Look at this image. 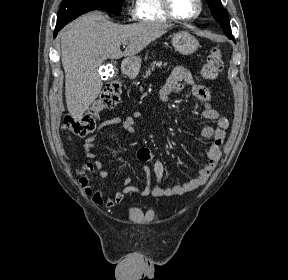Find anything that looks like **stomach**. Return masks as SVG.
<instances>
[{"instance_id": "obj_1", "label": "stomach", "mask_w": 288, "mask_h": 280, "mask_svg": "<svg viewBox=\"0 0 288 280\" xmlns=\"http://www.w3.org/2000/svg\"><path fill=\"white\" fill-rule=\"evenodd\" d=\"M172 45L176 51L182 55L193 54L199 46L198 40L187 31H179L172 36ZM130 66L139 68L141 65L140 57H130L127 59Z\"/></svg>"}]
</instances>
